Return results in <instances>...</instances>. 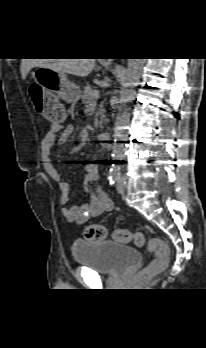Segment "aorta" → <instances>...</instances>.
<instances>
[{
  "label": "aorta",
  "instance_id": "obj_1",
  "mask_svg": "<svg viewBox=\"0 0 206 348\" xmlns=\"http://www.w3.org/2000/svg\"><path fill=\"white\" fill-rule=\"evenodd\" d=\"M145 59H128L127 70L122 82L120 91V106L118 108L115 130L113 155L116 158L123 157L125 152L124 141L127 138V132L130 122V107L136 95V87L139 85L142 69L145 64Z\"/></svg>",
  "mask_w": 206,
  "mask_h": 348
}]
</instances>
